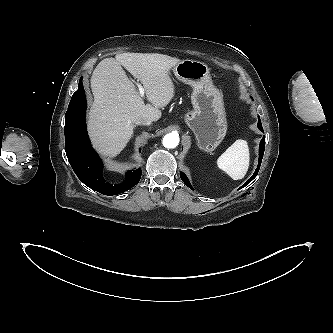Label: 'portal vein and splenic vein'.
<instances>
[{
  "instance_id": "obj_1",
  "label": "portal vein and splenic vein",
  "mask_w": 333,
  "mask_h": 333,
  "mask_svg": "<svg viewBox=\"0 0 333 333\" xmlns=\"http://www.w3.org/2000/svg\"><path fill=\"white\" fill-rule=\"evenodd\" d=\"M138 88H139V93L141 97H144L145 94V89L143 88V86H141L140 84H137Z\"/></svg>"
}]
</instances>
